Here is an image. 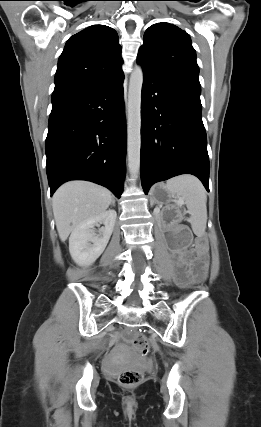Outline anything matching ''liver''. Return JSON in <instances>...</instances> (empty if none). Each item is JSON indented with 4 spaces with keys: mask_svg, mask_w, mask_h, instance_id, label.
Listing matches in <instances>:
<instances>
[{
    "mask_svg": "<svg viewBox=\"0 0 261 427\" xmlns=\"http://www.w3.org/2000/svg\"><path fill=\"white\" fill-rule=\"evenodd\" d=\"M111 201L108 189L91 182L71 181L60 186L52 205L60 240L64 242L78 224L104 213Z\"/></svg>",
    "mask_w": 261,
    "mask_h": 427,
    "instance_id": "6515ba94",
    "label": "liver"
}]
</instances>
